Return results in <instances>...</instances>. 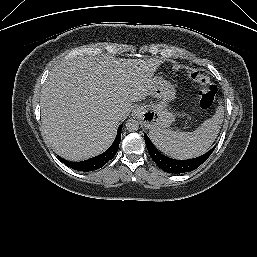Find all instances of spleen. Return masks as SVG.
Wrapping results in <instances>:
<instances>
[{"instance_id": "obj_1", "label": "spleen", "mask_w": 257, "mask_h": 257, "mask_svg": "<svg viewBox=\"0 0 257 257\" xmlns=\"http://www.w3.org/2000/svg\"><path fill=\"white\" fill-rule=\"evenodd\" d=\"M224 109L220 105L215 115L205 120L193 132L160 129L149 133L155 147L165 155L176 159H189L207 152L215 141L223 122Z\"/></svg>"}]
</instances>
